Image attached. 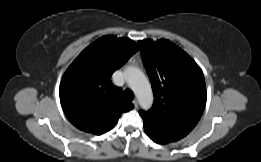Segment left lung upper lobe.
I'll return each mask as SVG.
<instances>
[{
    "label": "left lung upper lobe",
    "instance_id": "1",
    "mask_svg": "<svg viewBox=\"0 0 261 162\" xmlns=\"http://www.w3.org/2000/svg\"><path fill=\"white\" fill-rule=\"evenodd\" d=\"M138 45L154 95L152 108L140 111L145 131L165 142L178 141L191 132L204 111L203 72L169 40L145 39Z\"/></svg>",
    "mask_w": 261,
    "mask_h": 162
}]
</instances>
